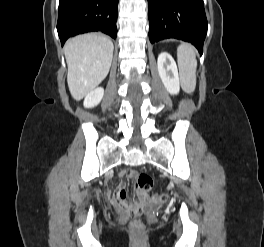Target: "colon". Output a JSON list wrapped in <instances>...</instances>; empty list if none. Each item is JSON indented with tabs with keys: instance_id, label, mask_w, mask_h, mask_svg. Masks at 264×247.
<instances>
[{
	"instance_id": "5ec220e1",
	"label": "colon",
	"mask_w": 264,
	"mask_h": 247,
	"mask_svg": "<svg viewBox=\"0 0 264 247\" xmlns=\"http://www.w3.org/2000/svg\"><path fill=\"white\" fill-rule=\"evenodd\" d=\"M136 186L142 192H150L153 188V179L150 175L144 172H140L136 176ZM154 200L158 203L164 204L168 200V195L166 193H159L154 196ZM145 202V201H141ZM125 212L132 218L131 227L134 230H139L143 226V222L141 219L142 215V207L140 203L135 202H124L119 204Z\"/></svg>"
}]
</instances>
